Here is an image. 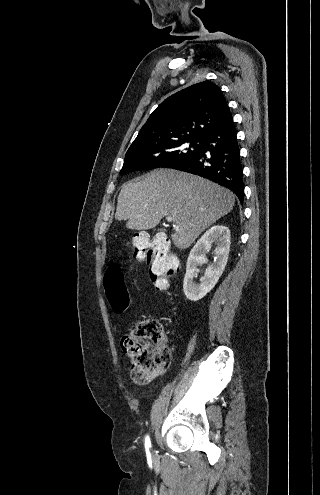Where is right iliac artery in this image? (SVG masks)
Listing matches in <instances>:
<instances>
[{
    "instance_id": "right-iliac-artery-1",
    "label": "right iliac artery",
    "mask_w": 320,
    "mask_h": 495,
    "mask_svg": "<svg viewBox=\"0 0 320 495\" xmlns=\"http://www.w3.org/2000/svg\"><path fill=\"white\" fill-rule=\"evenodd\" d=\"M145 448L146 450H149L151 448V441L148 435L145 438Z\"/></svg>"
}]
</instances>
